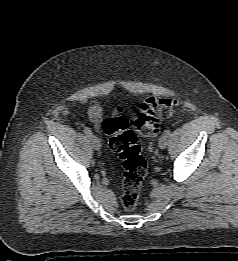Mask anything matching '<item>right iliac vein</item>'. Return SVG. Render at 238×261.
Masks as SVG:
<instances>
[{"label":"right iliac vein","mask_w":238,"mask_h":261,"mask_svg":"<svg viewBox=\"0 0 238 261\" xmlns=\"http://www.w3.org/2000/svg\"><path fill=\"white\" fill-rule=\"evenodd\" d=\"M90 141H91L92 146H93V148H94L95 150H97V151L100 150L101 144H100V140L98 139L97 136L91 135V136H90Z\"/></svg>","instance_id":"right-iliac-vein-1"}]
</instances>
